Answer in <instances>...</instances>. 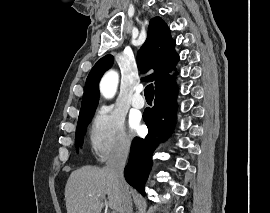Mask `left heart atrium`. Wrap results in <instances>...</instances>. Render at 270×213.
Segmentation results:
<instances>
[{"mask_svg": "<svg viewBox=\"0 0 270 213\" xmlns=\"http://www.w3.org/2000/svg\"><path fill=\"white\" fill-rule=\"evenodd\" d=\"M130 128L133 132H139L140 131L139 121L135 118H132L130 120Z\"/></svg>", "mask_w": 270, "mask_h": 213, "instance_id": "left-heart-atrium-1", "label": "left heart atrium"}]
</instances>
